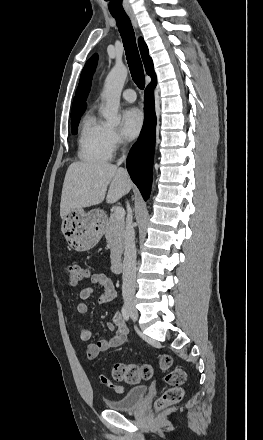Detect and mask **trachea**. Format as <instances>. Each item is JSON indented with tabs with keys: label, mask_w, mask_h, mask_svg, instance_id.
Returning <instances> with one entry per match:
<instances>
[{
	"label": "trachea",
	"mask_w": 263,
	"mask_h": 440,
	"mask_svg": "<svg viewBox=\"0 0 263 440\" xmlns=\"http://www.w3.org/2000/svg\"><path fill=\"white\" fill-rule=\"evenodd\" d=\"M112 16L116 19L117 26L123 41L124 49L126 52L127 63L130 68V73L133 81L140 89L145 87V76L143 65L140 59L139 51L137 48L135 33L131 24V21L124 11L113 12Z\"/></svg>",
	"instance_id": "1"
}]
</instances>
